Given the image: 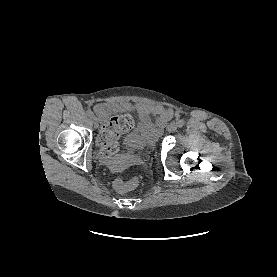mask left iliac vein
I'll return each mask as SVG.
<instances>
[{
  "label": "left iliac vein",
  "mask_w": 277,
  "mask_h": 277,
  "mask_svg": "<svg viewBox=\"0 0 277 277\" xmlns=\"http://www.w3.org/2000/svg\"><path fill=\"white\" fill-rule=\"evenodd\" d=\"M177 128H178L177 123L171 122V123L168 125L167 130H168V132L173 133V132H175V131L177 130Z\"/></svg>",
  "instance_id": "1"
}]
</instances>
